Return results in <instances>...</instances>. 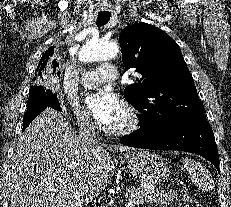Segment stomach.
Returning a JSON list of instances; mask_svg holds the SVG:
<instances>
[{
    "instance_id": "stomach-1",
    "label": "stomach",
    "mask_w": 231,
    "mask_h": 207,
    "mask_svg": "<svg viewBox=\"0 0 231 207\" xmlns=\"http://www.w3.org/2000/svg\"><path fill=\"white\" fill-rule=\"evenodd\" d=\"M130 173L144 185H154L164 180L169 166L160 155L149 150H139L127 160Z\"/></svg>"
}]
</instances>
